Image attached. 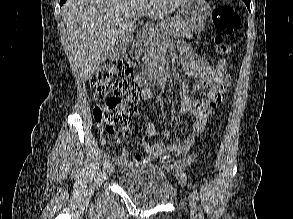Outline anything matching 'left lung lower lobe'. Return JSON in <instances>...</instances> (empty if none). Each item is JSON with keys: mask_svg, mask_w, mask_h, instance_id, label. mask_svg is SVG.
<instances>
[{"mask_svg": "<svg viewBox=\"0 0 293 219\" xmlns=\"http://www.w3.org/2000/svg\"><path fill=\"white\" fill-rule=\"evenodd\" d=\"M250 1L251 0H244V2L246 4L247 8L249 9V11H250Z\"/></svg>", "mask_w": 293, "mask_h": 219, "instance_id": "left-lung-lower-lobe-1", "label": "left lung lower lobe"}]
</instances>
